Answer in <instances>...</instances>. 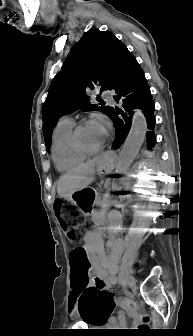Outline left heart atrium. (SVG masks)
I'll return each instance as SVG.
<instances>
[{"label":"left heart atrium","mask_w":193,"mask_h":336,"mask_svg":"<svg viewBox=\"0 0 193 336\" xmlns=\"http://www.w3.org/2000/svg\"><path fill=\"white\" fill-rule=\"evenodd\" d=\"M92 128L98 131L102 136L106 135L108 122L104 117L98 116L90 122Z\"/></svg>","instance_id":"obj_1"}]
</instances>
